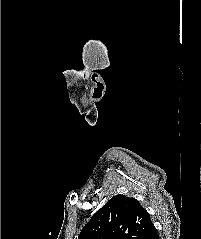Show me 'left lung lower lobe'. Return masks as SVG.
I'll list each match as a JSON object with an SVG mask.
<instances>
[{
  "label": "left lung lower lobe",
  "mask_w": 201,
  "mask_h": 239,
  "mask_svg": "<svg viewBox=\"0 0 201 239\" xmlns=\"http://www.w3.org/2000/svg\"><path fill=\"white\" fill-rule=\"evenodd\" d=\"M140 239H159V235L153 223L151 222L145 234Z\"/></svg>",
  "instance_id": "left-lung-lower-lobe-1"
}]
</instances>
